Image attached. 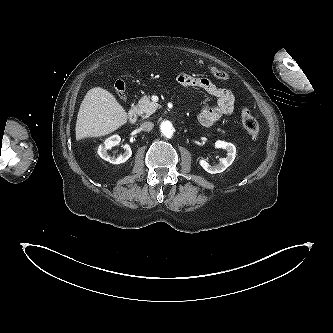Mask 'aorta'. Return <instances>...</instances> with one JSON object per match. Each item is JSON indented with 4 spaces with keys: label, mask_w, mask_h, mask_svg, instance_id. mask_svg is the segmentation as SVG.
I'll use <instances>...</instances> for the list:
<instances>
[{
    "label": "aorta",
    "mask_w": 333,
    "mask_h": 333,
    "mask_svg": "<svg viewBox=\"0 0 333 333\" xmlns=\"http://www.w3.org/2000/svg\"><path fill=\"white\" fill-rule=\"evenodd\" d=\"M161 132L166 136V137H171L173 133V127L172 124L169 121H164L161 124Z\"/></svg>",
    "instance_id": "aorta-1"
}]
</instances>
